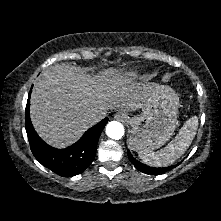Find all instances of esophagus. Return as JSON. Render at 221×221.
Here are the masks:
<instances>
[{
    "label": "esophagus",
    "instance_id": "34e87169",
    "mask_svg": "<svg viewBox=\"0 0 221 221\" xmlns=\"http://www.w3.org/2000/svg\"><path fill=\"white\" fill-rule=\"evenodd\" d=\"M114 118L119 121H126L127 120V114L124 111H118Z\"/></svg>",
    "mask_w": 221,
    "mask_h": 221
}]
</instances>
